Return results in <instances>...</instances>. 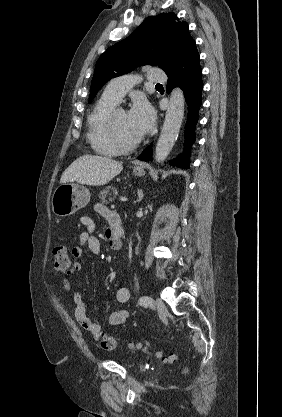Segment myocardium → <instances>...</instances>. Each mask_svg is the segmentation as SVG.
Returning <instances> with one entry per match:
<instances>
[{
	"mask_svg": "<svg viewBox=\"0 0 282 417\" xmlns=\"http://www.w3.org/2000/svg\"><path fill=\"white\" fill-rule=\"evenodd\" d=\"M120 112H125V110L122 107H115L113 108L109 114L107 115L106 121L108 123L109 129H110V140L112 144L118 149V150H129L137 147L141 141L142 136H139L137 139L126 142L124 141L118 134L117 127H116V117Z\"/></svg>",
	"mask_w": 282,
	"mask_h": 417,
	"instance_id": "obj_1",
	"label": "myocardium"
}]
</instances>
